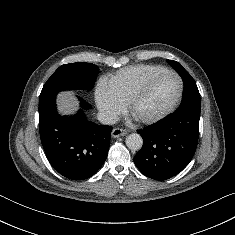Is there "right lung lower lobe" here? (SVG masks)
<instances>
[{
    "label": "right lung lower lobe",
    "mask_w": 235,
    "mask_h": 235,
    "mask_svg": "<svg viewBox=\"0 0 235 235\" xmlns=\"http://www.w3.org/2000/svg\"><path fill=\"white\" fill-rule=\"evenodd\" d=\"M56 94L39 99V130L52 167L66 178L83 180L93 176L105 162L112 127L86 119L82 109L91 105L79 97L81 108L71 117L60 116Z\"/></svg>",
    "instance_id": "right-lung-lower-lobe-1"
}]
</instances>
